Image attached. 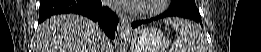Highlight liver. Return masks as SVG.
I'll return each mask as SVG.
<instances>
[{
    "mask_svg": "<svg viewBox=\"0 0 261 52\" xmlns=\"http://www.w3.org/2000/svg\"><path fill=\"white\" fill-rule=\"evenodd\" d=\"M34 52H103L104 34L99 26L78 15H57L42 23Z\"/></svg>",
    "mask_w": 261,
    "mask_h": 52,
    "instance_id": "liver-1",
    "label": "liver"
}]
</instances>
